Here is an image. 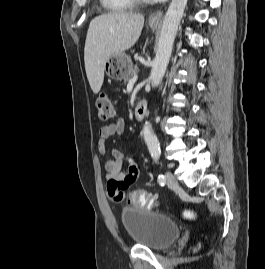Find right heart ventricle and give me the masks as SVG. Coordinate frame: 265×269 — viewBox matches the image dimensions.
<instances>
[{
    "label": "right heart ventricle",
    "mask_w": 265,
    "mask_h": 269,
    "mask_svg": "<svg viewBox=\"0 0 265 269\" xmlns=\"http://www.w3.org/2000/svg\"><path fill=\"white\" fill-rule=\"evenodd\" d=\"M109 12H124L132 8V0H100Z\"/></svg>",
    "instance_id": "e07e8e85"
}]
</instances>
